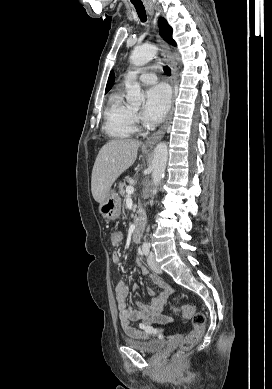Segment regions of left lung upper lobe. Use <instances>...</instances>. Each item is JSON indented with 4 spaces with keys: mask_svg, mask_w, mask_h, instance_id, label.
I'll return each mask as SVG.
<instances>
[{
    "mask_svg": "<svg viewBox=\"0 0 272 389\" xmlns=\"http://www.w3.org/2000/svg\"><path fill=\"white\" fill-rule=\"evenodd\" d=\"M159 28H160V35L170 44L176 45L175 41L172 39V29L168 25L166 19L159 18Z\"/></svg>",
    "mask_w": 272,
    "mask_h": 389,
    "instance_id": "1",
    "label": "left lung upper lobe"
}]
</instances>
